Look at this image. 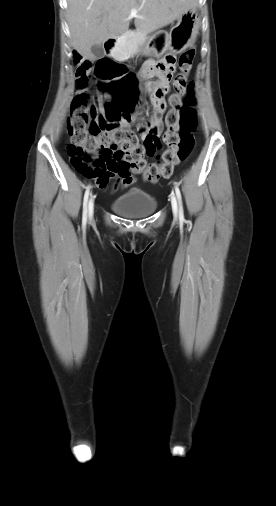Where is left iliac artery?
<instances>
[{
  "label": "left iliac artery",
  "mask_w": 276,
  "mask_h": 506,
  "mask_svg": "<svg viewBox=\"0 0 276 506\" xmlns=\"http://www.w3.org/2000/svg\"><path fill=\"white\" fill-rule=\"evenodd\" d=\"M175 192L179 201V218L181 220H184V213H183V206H182V199H181V192L177 184H175Z\"/></svg>",
  "instance_id": "obj_1"
}]
</instances>
